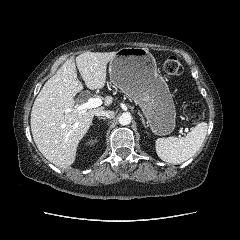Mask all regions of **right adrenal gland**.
<instances>
[{
  "label": "right adrenal gland",
  "instance_id": "1",
  "mask_svg": "<svg viewBox=\"0 0 240 240\" xmlns=\"http://www.w3.org/2000/svg\"><path fill=\"white\" fill-rule=\"evenodd\" d=\"M98 119L99 120H106V118H104V117H99Z\"/></svg>",
  "mask_w": 240,
  "mask_h": 240
}]
</instances>
